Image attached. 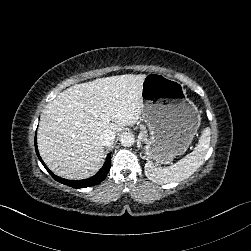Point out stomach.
Masks as SVG:
<instances>
[{
  "mask_svg": "<svg viewBox=\"0 0 251 251\" xmlns=\"http://www.w3.org/2000/svg\"><path fill=\"white\" fill-rule=\"evenodd\" d=\"M142 119L151 139L149 156L169 163L185 152L201 124V114L187 98L183 85L160 73H149L142 83Z\"/></svg>",
  "mask_w": 251,
  "mask_h": 251,
  "instance_id": "0dacf381",
  "label": "stomach"
}]
</instances>
